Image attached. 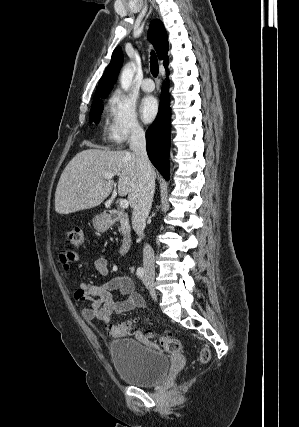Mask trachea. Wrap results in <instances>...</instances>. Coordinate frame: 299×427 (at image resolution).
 <instances>
[{"label": "trachea", "mask_w": 299, "mask_h": 427, "mask_svg": "<svg viewBox=\"0 0 299 427\" xmlns=\"http://www.w3.org/2000/svg\"><path fill=\"white\" fill-rule=\"evenodd\" d=\"M150 71L154 77H157L159 68H158V60L156 58L155 52L151 51L150 57Z\"/></svg>", "instance_id": "3493384b"}]
</instances>
